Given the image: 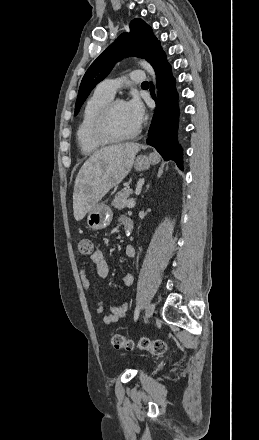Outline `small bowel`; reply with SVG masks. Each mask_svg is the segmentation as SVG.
<instances>
[{
    "label": "small bowel",
    "instance_id": "1",
    "mask_svg": "<svg viewBox=\"0 0 259 440\" xmlns=\"http://www.w3.org/2000/svg\"><path fill=\"white\" fill-rule=\"evenodd\" d=\"M128 219V217L122 216L120 217V222L124 226L125 221ZM125 257L128 259H132L136 255L135 248L131 245L126 246L124 250ZM90 260L93 263L95 267L96 274L101 278H106L109 275V265L106 261L104 254L101 250L97 249L95 250L91 256ZM80 279L83 289L92 297L95 298V293L91 290V284L90 280L87 276L86 271V262L82 264V267L80 269ZM122 284L124 287L129 288L133 284V276L131 274H125L122 278ZM129 302L124 301L120 305H116L110 308L109 311L106 310L104 303L102 301H97L93 310L97 314H103L102 321L105 324H112L118 322L121 318H123L128 309H129Z\"/></svg>",
    "mask_w": 259,
    "mask_h": 440
}]
</instances>
